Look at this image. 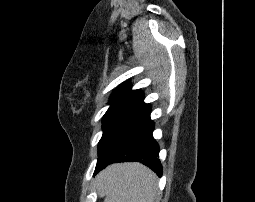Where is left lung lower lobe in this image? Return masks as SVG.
Wrapping results in <instances>:
<instances>
[{
	"mask_svg": "<svg viewBox=\"0 0 255 202\" xmlns=\"http://www.w3.org/2000/svg\"><path fill=\"white\" fill-rule=\"evenodd\" d=\"M154 123L150 117L126 141L121 151L110 160L98 161L94 175L115 162H141L151 168L159 177L162 175L159 147L153 138Z\"/></svg>",
	"mask_w": 255,
	"mask_h": 202,
	"instance_id": "obj_1",
	"label": "left lung lower lobe"
}]
</instances>
